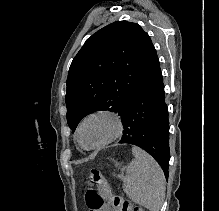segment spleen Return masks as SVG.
I'll list each match as a JSON object with an SVG mask.
<instances>
[{"instance_id": "1", "label": "spleen", "mask_w": 219, "mask_h": 211, "mask_svg": "<svg viewBox=\"0 0 219 211\" xmlns=\"http://www.w3.org/2000/svg\"><path fill=\"white\" fill-rule=\"evenodd\" d=\"M132 159L123 177V187L128 197L147 207L159 211L165 197V177L157 161L141 147H132Z\"/></svg>"}]
</instances>
